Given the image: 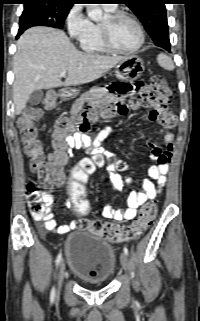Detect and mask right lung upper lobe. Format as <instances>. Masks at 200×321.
Wrapping results in <instances>:
<instances>
[{
    "instance_id": "obj_1",
    "label": "right lung upper lobe",
    "mask_w": 200,
    "mask_h": 321,
    "mask_svg": "<svg viewBox=\"0 0 200 321\" xmlns=\"http://www.w3.org/2000/svg\"><path fill=\"white\" fill-rule=\"evenodd\" d=\"M24 3L34 2V1H42V2H55L58 5L62 6H72L76 0H23Z\"/></svg>"
}]
</instances>
